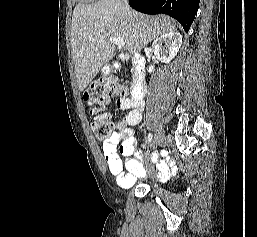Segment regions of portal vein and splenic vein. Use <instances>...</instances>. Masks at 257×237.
<instances>
[{"instance_id":"portal-vein-and-splenic-vein-1","label":"portal vein and splenic vein","mask_w":257,"mask_h":237,"mask_svg":"<svg viewBox=\"0 0 257 237\" xmlns=\"http://www.w3.org/2000/svg\"><path fill=\"white\" fill-rule=\"evenodd\" d=\"M109 41L112 43L116 44L119 48H124L125 47V42L121 38H116V37H108ZM94 41V40H93Z\"/></svg>"}]
</instances>
